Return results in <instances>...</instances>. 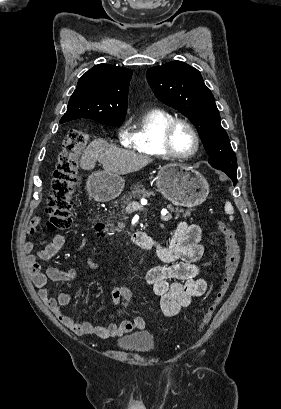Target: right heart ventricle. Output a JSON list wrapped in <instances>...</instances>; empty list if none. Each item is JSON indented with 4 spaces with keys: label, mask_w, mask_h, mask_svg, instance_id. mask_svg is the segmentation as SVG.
<instances>
[{
    "label": "right heart ventricle",
    "mask_w": 281,
    "mask_h": 409,
    "mask_svg": "<svg viewBox=\"0 0 281 409\" xmlns=\"http://www.w3.org/2000/svg\"><path fill=\"white\" fill-rule=\"evenodd\" d=\"M177 117L165 109L147 111L134 125L126 147L145 158L169 157L163 147L166 126Z\"/></svg>",
    "instance_id": "1"
}]
</instances>
